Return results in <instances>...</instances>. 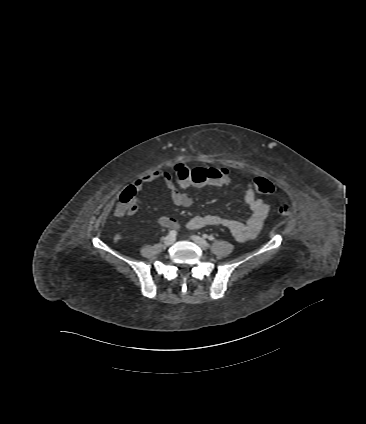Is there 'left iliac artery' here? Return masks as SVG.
<instances>
[{
  "label": "left iliac artery",
  "instance_id": "obj_1",
  "mask_svg": "<svg viewBox=\"0 0 366 424\" xmlns=\"http://www.w3.org/2000/svg\"><path fill=\"white\" fill-rule=\"evenodd\" d=\"M205 238H208L210 241H213L215 238L213 236L204 235Z\"/></svg>",
  "mask_w": 366,
  "mask_h": 424
}]
</instances>
